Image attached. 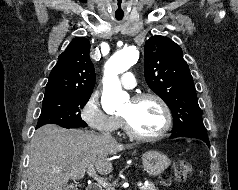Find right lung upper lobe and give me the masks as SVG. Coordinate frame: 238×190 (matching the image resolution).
<instances>
[{"label": "right lung upper lobe", "instance_id": "obj_1", "mask_svg": "<svg viewBox=\"0 0 238 190\" xmlns=\"http://www.w3.org/2000/svg\"><path fill=\"white\" fill-rule=\"evenodd\" d=\"M90 42L74 38L59 56L46 85L44 98L63 95H91L95 70L89 57Z\"/></svg>", "mask_w": 238, "mask_h": 190}]
</instances>
